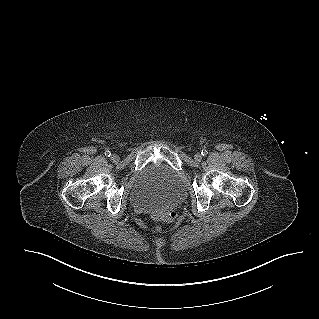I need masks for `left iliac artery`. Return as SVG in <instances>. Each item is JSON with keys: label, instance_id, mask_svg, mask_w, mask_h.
I'll list each match as a JSON object with an SVG mask.
<instances>
[{"label": "left iliac artery", "instance_id": "left-iliac-artery-1", "mask_svg": "<svg viewBox=\"0 0 319 319\" xmlns=\"http://www.w3.org/2000/svg\"><path fill=\"white\" fill-rule=\"evenodd\" d=\"M207 154H208L207 150L204 149V150L201 151V155L202 156H206Z\"/></svg>", "mask_w": 319, "mask_h": 319}]
</instances>
